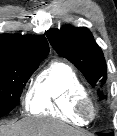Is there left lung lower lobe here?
Wrapping results in <instances>:
<instances>
[{
  "instance_id": "0a47b994",
  "label": "left lung lower lobe",
  "mask_w": 117,
  "mask_h": 136,
  "mask_svg": "<svg viewBox=\"0 0 117 136\" xmlns=\"http://www.w3.org/2000/svg\"><path fill=\"white\" fill-rule=\"evenodd\" d=\"M99 136H113V133L110 134H103V133H97Z\"/></svg>"
}]
</instances>
